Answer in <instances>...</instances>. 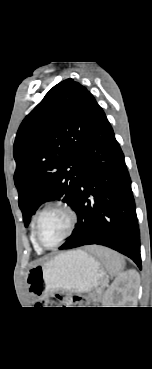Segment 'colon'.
I'll list each match as a JSON object with an SVG mask.
<instances>
[{
    "mask_svg": "<svg viewBox=\"0 0 152 369\" xmlns=\"http://www.w3.org/2000/svg\"><path fill=\"white\" fill-rule=\"evenodd\" d=\"M85 298L80 295L73 297L64 293H57L51 299L42 301L39 305L42 307H69V306H83Z\"/></svg>",
    "mask_w": 152,
    "mask_h": 369,
    "instance_id": "colon-1",
    "label": "colon"
}]
</instances>
